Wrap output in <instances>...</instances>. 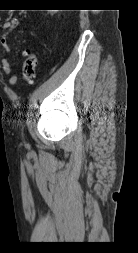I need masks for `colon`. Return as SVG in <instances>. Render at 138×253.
<instances>
[{
  "label": "colon",
  "mask_w": 138,
  "mask_h": 253,
  "mask_svg": "<svg viewBox=\"0 0 138 253\" xmlns=\"http://www.w3.org/2000/svg\"><path fill=\"white\" fill-rule=\"evenodd\" d=\"M25 56L26 59L23 65L22 76L23 79L30 84L36 76L38 57L30 51H27Z\"/></svg>",
  "instance_id": "obj_1"
}]
</instances>
